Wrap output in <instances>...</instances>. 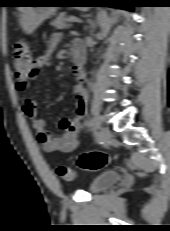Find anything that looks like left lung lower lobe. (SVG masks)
Instances as JSON below:
<instances>
[{
	"instance_id": "left-lung-lower-lobe-1",
	"label": "left lung lower lobe",
	"mask_w": 170,
	"mask_h": 231,
	"mask_svg": "<svg viewBox=\"0 0 170 231\" xmlns=\"http://www.w3.org/2000/svg\"><path fill=\"white\" fill-rule=\"evenodd\" d=\"M107 2H115V0H106ZM125 2H129L128 5H125V6H115V7H119V8H122V9H126V10H132L133 7H135L136 5H134V2H137L135 0H126ZM110 3H106V4H110ZM107 6V5H106Z\"/></svg>"
}]
</instances>
